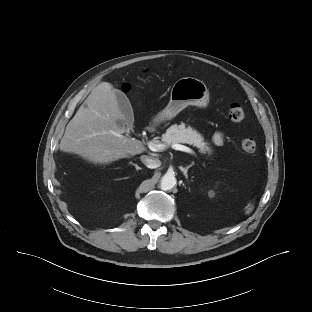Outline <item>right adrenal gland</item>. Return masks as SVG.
<instances>
[{
    "label": "right adrenal gland",
    "mask_w": 312,
    "mask_h": 312,
    "mask_svg": "<svg viewBox=\"0 0 312 312\" xmlns=\"http://www.w3.org/2000/svg\"><path fill=\"white\" fill-rule=\"evenodd\" d=\"M130 164L133 165L137 171L142 169L141 167H139L137 164H134L133 162H130Z\"/></svg>",
    "instance_id": "obj_1"
}]
</instances>
